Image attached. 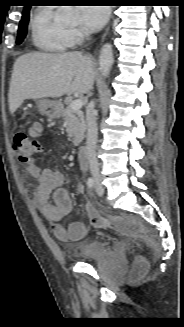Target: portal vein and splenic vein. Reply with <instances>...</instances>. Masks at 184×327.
Returning a JSON list of instances; mask_svg holds the SVG:
<instances>
[{
  "label": "portal vein and splenic vein",
  "mask_w": 184,
  "mask_h": 327,
  "mask_svg": "<svg viewBox=\"0 0 184 327\" xmlns=\"http://www.w3.org/2000/svg\"><path fill=\"white\" fill-rule=\"evenodd\" d=\"M82 106H83V101L81 99H76L72 101L69 105V107L74 111L80 110Z\"/></svg>",
  "instance_id": "obj_1"
}]
</instances>
